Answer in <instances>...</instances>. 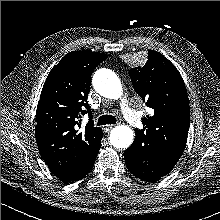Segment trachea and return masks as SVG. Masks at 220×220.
<instances>
[{"label": "trachea", "instance_id": "3493384b", "mask_svg": "<svg viewBox=\"0 0 220 220\" xmlns=\"http://www.w3.org/2000/svg\"><path fill=\"white\" fill-rule=\"evenodd\" d=\"M113 125L116 124V118L112 115H102L98 118L97 125Z\"/></svg>", "mask_w": 220, "mask_h": 220}]
</instances>
